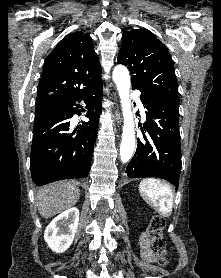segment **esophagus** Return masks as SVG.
<instances>
[{
	"label": "esophagus",
	"instance_id": "1",
	"mask_svg": "<svg viewBox=\"0 0 221 278\" xmlns=\"http://www.w3.org/2000/svg\"><path fill=\"white\" fill-rule=\"evenodd\" d=\"M114 118H115V121L117 122V124H120L121 123V115H120V112L118 110L115 111L114 113Z\"/></svg>",
	"mask_w": 221,
	"mask_h": 278
}]
</instances>
